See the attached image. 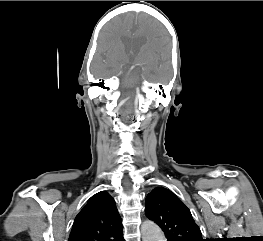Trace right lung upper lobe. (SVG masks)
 <instances>
[{
	"instance_id": "obj_1",
	"label": "right lung upper lobe",
	"mask_w": 263,
	"mask_h": 241,
	"mask_svg": "<svg viewBox=\"0 0 263 241\" xmlns=\"http://www.w3.org/2000/svg\"><path fill=\"white\" fill-rule=\"evenodd\" d=\"M122 228L114 200L101 191L76 216L68 241H124Z\"/></svg>"
}]
</instances>
